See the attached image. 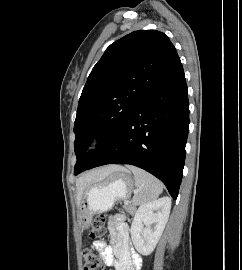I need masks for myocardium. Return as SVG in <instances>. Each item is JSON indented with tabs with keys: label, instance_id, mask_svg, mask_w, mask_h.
<instances>
[{
	"label": "myocardium",
	"instance_id": "myocardium-1",
	"mask_svg": "<svg viewBox=\"0 0 242 270\" xmlns=\"http://www.w3.org/2000/svg\"><path fill=\"white\" fill-rule=\"evenodd\" d=\"M104 138L103 132L97 131L91 134L85 143L84 151L86 153L94 152L102 144Z\"/></svg>",
	"mask_w": 242,
	"mask_h": 270
}]
</instances>
